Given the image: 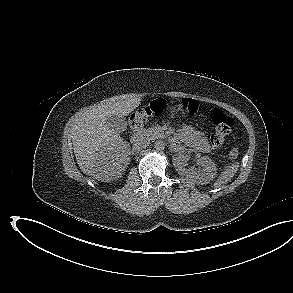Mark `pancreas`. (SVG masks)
Returning a JSON list of instances; mask_svg holds the SVG:
<instances>
[{
	"label": "pancreas",
	"mask_w": 293,
	"mask_h": 293,
	"mask_svg": "<svg viewBox=\"0 0 293 293\" xmlns=\"http://www.w3.org/2000/svg\"><path fill=\"white\" fill-rule=\"evenodd\" d=\"M144 137L148 138L149 140H155L158 138H164V132L160 126H153L151 128L144 129L142 131Z\"/></svg>",
	"instance_id": "cf45deb5"
}]
</instances>
